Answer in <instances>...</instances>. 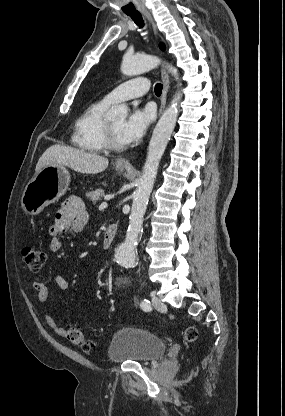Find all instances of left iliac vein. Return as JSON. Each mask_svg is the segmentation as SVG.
I'll return each instance as SVG.
<instances>
[{"label": "left iliac vein", "mask_w": 285, "mask_h": 416, "mask_svg": "<svg viewBox=\"0 0 285 416\" xmlns=\"http://www.w3.org/2000/svg\"><path fill=\"white\" fill-rule=\"evenodd\" d=\"M152 303H153V307L156 310H158V311H165L166 310V305L164 304V302L160 298L155 296L154 294L152 295Z\"/></svg>", "instance_id": "4c4485c4"}]
</instances>
